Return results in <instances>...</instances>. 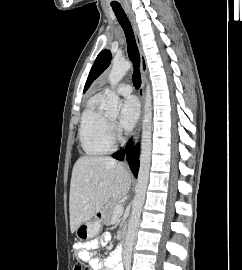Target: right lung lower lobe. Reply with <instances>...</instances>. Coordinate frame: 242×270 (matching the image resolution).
Masks as SVG:
<instances>
[{
  "mask_svg": "<svg viewBox=\"0 0 242 270\" xmlns=\"http://www.w3.org/2000/svg\"><path fill=\"white\" fill-rule=\"evenodd\" d=\"M127 151H128L127 160L130 165L131 171L133 172L134 176L137 177L139 168V159H138L139 147L138 145H136L133 148V144L130 141L127 145Z\"/></svg>",
  "mask_w": 242,
  "mask_h": 270,
  "instance_id": "98d812e1",
  "label": "right lung lower lobe"
}]
</instances>
